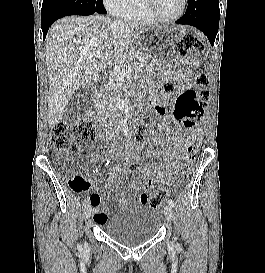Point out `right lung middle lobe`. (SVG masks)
Listing matches in <instances>:
<instances>
[{"instance_id":"1","label":"right lung middle lobe","mask_w":265,"mask_h":273,"mask_svg":"<svg viewBox=\"0 0 265 273\" xmlns=\"http://www.w3.org/2000/svg\"><path fill=\"white\" fill-rule=\"evenodd\" d=\"M63 6L81 11H96L106 14L102 0H43L42 10L50 7Z\"/></svg>"}]
</instances>
